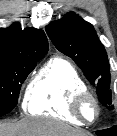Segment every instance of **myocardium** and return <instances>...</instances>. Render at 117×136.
Wrapping results in <instances>:
<instances>
[{"label":"myocardium","mask_w":117,"mask_h":136,"mask_svg":"<svg viewBox=\"0 0 117 136\" xmlns=\"http://www.w3.org/2000/svg\"><path fill=\"white\" fill-rule=\"evenodd\" d=\"M86 105H92L94 108V116L89 119L84 111ZM70 112L79 120L85 123H94L100 115V106L97 98L88 90L77 93L71 103Z\"/></svg>","instance_id":"1"}]
</instances>
